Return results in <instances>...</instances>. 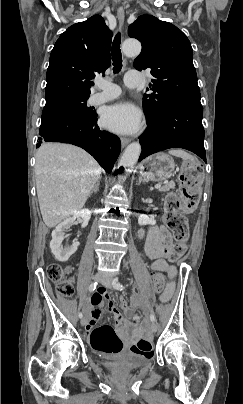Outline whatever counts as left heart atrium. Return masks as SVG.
I'll use <instances>...</instances> for the list:
<instances>
[{
    "label": "left heart atrium",
    "instance_id": "left-heart-atrium-1",
    "mask_svg": "<svg viewBox=\"0 0 243 404\" xmlns=\"http://www.w3.org/2000/svg\"><path fill=\"white\" fill-rule=\"evenodd\" d=\"M141 111L128 101H119L103 108V126L115 133L134 134L141 128Z\"/></svg>",
    "mask_w": 243,
    "mask_h": 404
}]
</instances>
